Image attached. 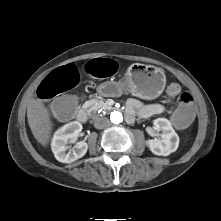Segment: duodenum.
<instances>
[{
  "mask_svg": "<svg viewBox=\"0 0 221 221\" xmlns=\"http://www.w3.org/2000/svg\"><path fill=\"white\" fill-rule=\"evenodd\" d=\"M76 119H77L79 122H81V123L86 122V120H87V114H86V112H85L84 110H82V109L78 110L77 113H76ZM127 119H128L129 121H131V120L133 119V116L127 114Z\"/></svg>",
  "mask_w": 221,
  "mask_h": 221,
  "instance_id": "obj_1",
  "label": "duodenum"
}]
</instances>
